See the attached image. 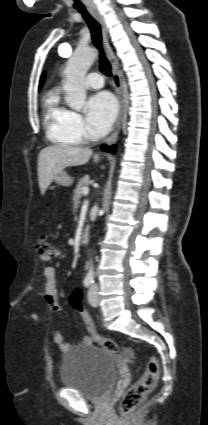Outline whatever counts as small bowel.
Segmentation results:
<instances>
[{"label":"small bowel","mask_w":208,"mask_h":425,"mask_svg":"<svg viewBox=\"0 0 208 425\" xmlns=\"http://www.w3.org/2000/svg\"><path fill=\"white\" fill-rule=\"evenodd\" d=\"M60 256V251H54L52 254H41L40 261L49 262L53 257ZM44 277L46 279L45 283V300L50 308V310L54 313H58L61 311V306L59 304V288L57 281V273L54 267L46 266L44 268ZM54 342L57 346L63 351L68 352L72 346L67 343L62 335V333L56 329L54 332ZM91 342L90 338L85 337L82 340L83 345H88Z\"/></svg>","instance_id":"1"}]
</instances>
